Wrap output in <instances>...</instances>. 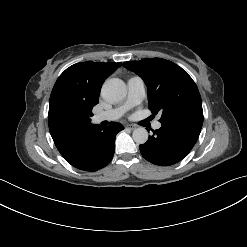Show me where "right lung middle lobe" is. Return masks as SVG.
Listing matches in <instances>:
<instances>
[{
    "mask_svg": "<svg viewBox=\"0 0 247 247\" xmlns=\"http://www.w3.org/2000/svg\"><path fill=\"white\" fill-rule=\"evenodd\" d=\"M89 106H62L55 116V124L70 133H79L91 123Z\"/></svg>",
    "mask_w": 247,
    "mask_h": 247,
    "instance_id": "obj_1",
    "label": "right lung middle lobe"
}]
</instances>
